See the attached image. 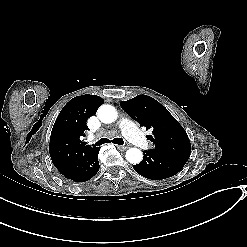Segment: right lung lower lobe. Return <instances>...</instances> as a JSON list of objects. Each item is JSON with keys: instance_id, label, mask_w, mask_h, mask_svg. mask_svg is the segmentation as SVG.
Listing matches in <instances>:
<instances>
[{"instance_id": "obj_1", "label": "right lung lower lobe", "mask_w": 247, "mask_h": 247, "mask_svg": "<svg viewBox=\"0 0 247 247\" xmlns=\"http://www.w3.org/2000/svg\"><path fill=\"white\" fill-rule=\"evenodd\" d=\"M100 147L87 153L72 169L62 175L75 182H85L91 179L99 171L98 153Z\"/></svg>"}]
</instances>
